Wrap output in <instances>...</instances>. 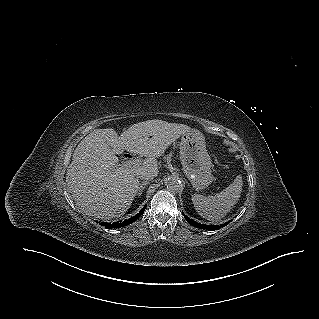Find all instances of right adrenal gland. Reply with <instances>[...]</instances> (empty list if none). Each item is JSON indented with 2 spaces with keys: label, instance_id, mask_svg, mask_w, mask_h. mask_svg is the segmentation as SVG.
Masks as SVG:
<instances>
[{
  "label": "right adrenal gland",
  "instance_id": "obj_1",
  "mask_svg": "<svg viewBox=\"0 0 319 319\" xmlns=\"http://www.w3.org/2000/svg\"><path fill=\"white\" fill-rule=\"evenodd\" d=\"M150 180H144L142 183L139 184L137 195L141 196L143 190L145 189L146 185L149 184Z\"/></svg>",
  "mask_w": 319,
  "mask_h": 319
}]
</instances>
